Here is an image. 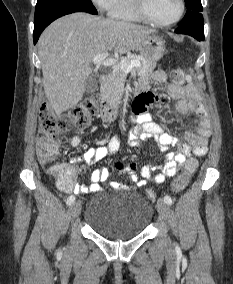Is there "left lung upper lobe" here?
Wrapping results in <instances>:
<instances>
[{"label": "left lung upper lobe", "mask_w": 233, "mask_h": 284, "mask_svg": "<svg viewBox=\"0 0 233 284\" xmlns=\"http://www.w3.org/2000/svg\"><path fill=\"white\" fill-rule=\"evenodd\" d=\"M187 12L183 18L181 25H190L193 23L203 22L201 0H185Z\"/></svg>", "instance_id": "obj_1"}]
</instances>
